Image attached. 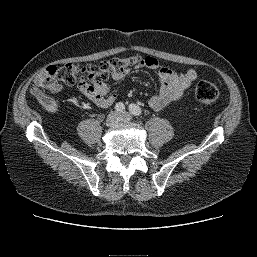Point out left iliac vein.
Wrapping results in <instances>:
<instances>
[{"label": "left iliac vein", "instance_id": "left-iliac-vein-1", "mask_svg": "<svg viewBox=\"0 0 257 257\" xmlns=\"http://www.w3.org/2000/svg\"><path fill=\"white\" fill-rule=\"evenodd\" d=\"M131 119H132L131 115L127 112H122L120 114V121L121 122H129V121H131Z\"/></svg>", "mask_w": 257, "mask_h": 257}]
</instances>
